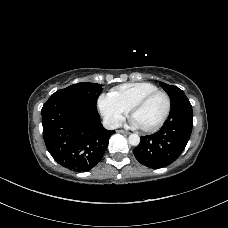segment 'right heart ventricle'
Masks as SVG:
<instances>
[{
  "instance_id": "obj_1",
  "label": "right heart ventricle",
  "mask_w": 228,
  "mask_h": 228,
  "mask_svg": "<svg viewBox=\"0 0 228 228\" xmlns=\"http://www.w3.org/2000/svg\"><path fill=\"white\" fill-rule=\"evenodd\" d=\"M158 90V87L150 82H133L120 85L111 90L110 95L123 107L130 109L133 103L149 92Z\"/></svg>"
}]
</instances>
